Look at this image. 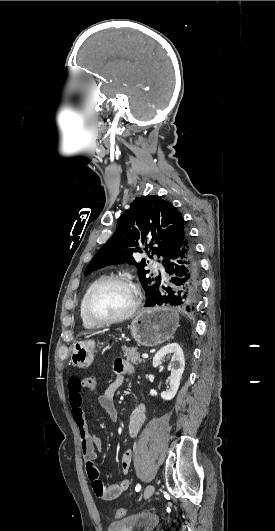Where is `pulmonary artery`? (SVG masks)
Segmentation results:
<instances>
[{
  "mask_svg": "<svg viewBox=\"0 0 275 531\" xmlns=\"http://www.w3.org/2000/svg\"><path fill=\"white\" fill-rule=\"evenodd\" d=\"M154 268L158 269L159 273L164 274L167 271L166 266H164V262L162 260H156L153 263Z\"/></svg>",
  "mask_w": 275,
  "mask_h": 531,
  "instance_id": "pulmonary-artery-1",
  "label": "pulmonary artery"
}]
</instances>
